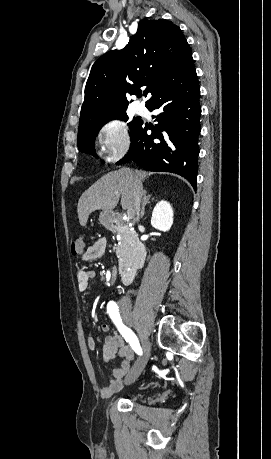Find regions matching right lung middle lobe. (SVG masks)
I'll return each instance as SVG.
<instances>
[{"label":"right lung middle lobe","mask_w":271,"mask_h":459,"mask_svg":"<svg viewBox=\"0 0 271 459\" xmlns=\"http://www.w3.org/2000/svg\"><path fill=\"white\" fill-rule=\"evenodd\" d=\"M112 119H121L124 121L128 120V116L125 112L106 116L99 117L81 121L78 128V148L81 152L88 153L96 157L94 141L95 137L98 134L99 130ZM141 120L135 118L133 121L129 122L128 125L133 132L140 124Z\"/></svg>","instance_id":"1"}]
</instances>
